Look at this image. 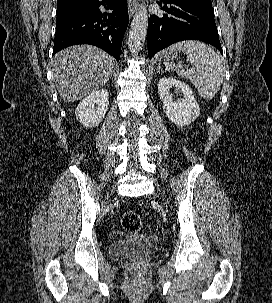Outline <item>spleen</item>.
I'll return each mask as SVG.
<instances>
[{"mask_svg": "<svg viewBox=\"0 0 272 303\" xmlns=\"http://www.w3.org/2000/svg\"><path fill=\"white\" fill-rule=\"evenodd\" d=\"M166 53L183 51L187 61L192 64L191 69L184 70L181 65L173 62L165 63V70H174L181 76L189 79L205 100H212L219 91L224 77L223 59L208 45L200 41L188 40L171 45Z\"/></svg>", "mask_w": 272, "mask_h": 303, "instance_id": "obj_1", "label": "spleen"}]
</instances>
